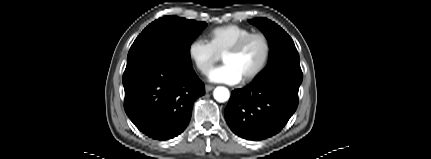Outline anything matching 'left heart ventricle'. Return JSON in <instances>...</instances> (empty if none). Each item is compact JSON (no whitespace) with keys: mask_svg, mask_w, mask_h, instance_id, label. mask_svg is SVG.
Returning a JSON list of instances; mask_svg holds the SVG:
<instances>
[{"mask_svg":"<svg viewBox=\"0 0 431 159\" xmlns=\"http://www.w3.org/2000/svg\"><path fill=\"white\" fill-rule=\"evenodd\" d=\"M263 56V41L256 38L252 40L241 53L237 55H227L223 58V61L233 66L243 79L260 65Z\"/></svg>","mask_w":431,"mask_h":159,"instance_id":"b2bd125f","label":"left heart ventricle"}]
</instances>
